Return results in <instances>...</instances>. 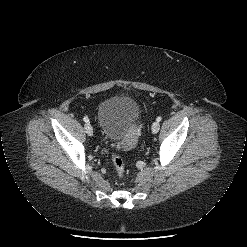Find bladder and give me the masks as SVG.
<instances>
[{
  "instance_id": "bladder-1",
  "label": "bladder",
  "mask_w": 247,
  "mask_h": 247,
  "mask_svg": "<svg viewBox=\"0 0 247 247\" xmlns=\"http://www.w3.org/2000/svg\"><path fill=\"white\" fill-rule=\"evenodd\" d=\"M141 110L138 103L128 96H113L98 107V122L106 140L122 150H130L136 144V124Z\"/></svg>"
}]
</instances>
